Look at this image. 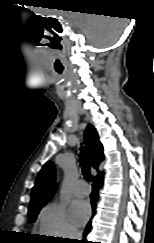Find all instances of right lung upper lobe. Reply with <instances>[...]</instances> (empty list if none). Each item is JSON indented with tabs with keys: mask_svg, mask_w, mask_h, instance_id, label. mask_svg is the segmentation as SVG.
Here are the masks:
<instances>
[{
	"mask_svg": "<svg viewBox=\"0 0 154 243\" xmlns=\"http://www.w3.org/2000/svg\"><path fill=\"white\" fill-rule=\"evenodd\" d=\"M84 137L90 164L98 169L99 164L104 160L103 146L99 141L97 131L91 124H88ZM54 181V163L48 161L44 164L36 178L35 185L31 192L29 208L42 205L53 197L56 191Z\"/></svg>",
	"mask_w": 154,
	"mask_h": 243,
	"instance_id": "1",
	"label": "right lung upper lobe"
}]
</instances>
